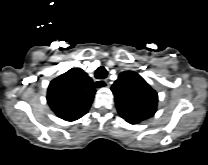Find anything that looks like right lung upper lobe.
<instances>
[{"label":"right lung upper lobe","mask_w":208,"mask_h":165,"mask_svg":"<svg viewBox=\"0 0 208 165\" xmlns=\"http://www.w3.org/2000/svg\"><path fill=\"white\" fill-rule=\"evenodd\" d=\"M95 92L92 79L82 69L72 68L50 82L47 102L58 117L71 122L88 112Z\"/></svg>","instance_id":"obj_1"}]
</instances>
